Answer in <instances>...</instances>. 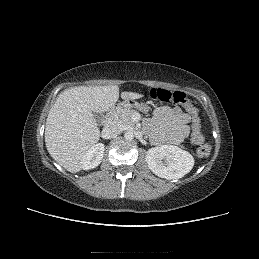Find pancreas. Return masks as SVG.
I'll return each mask as SVG.
<instances>
[{
  "instance_id": "pancreas-1",
  "label": "pancreas",
  "mask_w": 259,
  "mask_h": 259,
  "mask_svg": "<svg viewBox=\"0 0 259 259\" xmlns=\"http://www.w3.org/2000/svg\"><path fill=\"white\" fill-rule=\"evenodd\" d=\"M135 113V110L130 108H117L113 113L114 120L125 127H133L135 125L132 115Z\"/></svg>"
}]
</instances>
